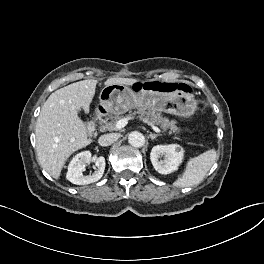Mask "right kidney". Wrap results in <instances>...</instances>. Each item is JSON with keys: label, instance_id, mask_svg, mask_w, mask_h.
<instances>
[{"label": "right kidney", "instance_id": "obj_1", "mask_svg": "<svg viewBox=\"0 0 264 264\" xmlns=\"http://www.w3.org/2000/svg\"><path fill=\"white\" fill-rule=\"evenodd\" d=\"M92 161V154L89 151H83L71 160L68 166L66 178L73 184L86 185L98 181L103 176L105 170V158L98 157L95 160V172L90 175H83L86 164Z\"/></svg>", "mask_w": 264, "mask_h": 264}]
</instances>
